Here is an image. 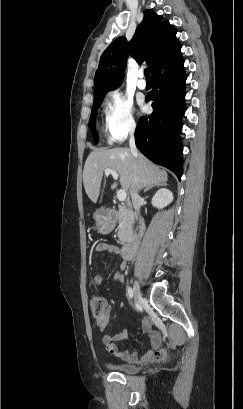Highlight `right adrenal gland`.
Segmentation results:
<instances>
[{
	"label": "right adrenal gland",
	"instance_id": "1",
	"mask_svg": "<svg viewBox=\"0 0 243 409\" xmlns=\"http://www.w3.org/2000/svg\"><path fill=\"white\" fill-rule=\"evenodd\" d=\"M163 185H167L166 183H163ZM155 186H159L158 184H152V185H149V186H147L145 189H144V193L145 192H147L148 190H150V189H152L153 187H155Z\"/></svg>",
	"mask_w": 243,
	"mask_h": 409
}]
</instances>
